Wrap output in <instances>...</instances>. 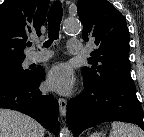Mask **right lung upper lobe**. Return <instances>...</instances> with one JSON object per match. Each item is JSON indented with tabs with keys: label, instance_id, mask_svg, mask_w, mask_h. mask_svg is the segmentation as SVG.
Masks as SVG:
<instances>
[{
	"label": "right lung upper lobe",
	"instance_id": "obj_1",
	"mask_svg": "<svg viewBox=\"0 0 144 137\" xmlns=\"http://www.w3.org/2000/svg\"><path fill=\"white\" fill-rule=\"evenodd\" d=\"M49 0H6L0 5V69L23 61L27 35H41Z\"/></svg>",
	"mask_w": 144,
	"mask_h": 137
}]
</instances>
